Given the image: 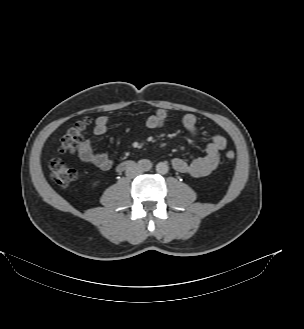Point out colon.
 <instances>
[{
    "label": "colon",
    "mask_w": 304,
    "mask_h": 329,
    "mask_svg": "<svg viewBox=\"0 0 304 329\" xmlns=\"http://www.w3.org/2000/svg\"><path fill=\"white\" fill-rule=\"evenodd\" d=\"M90 121L83 119L68 129L60 139L59 152L70 153L75 150L77 144L82 140L84 134L89 128ZM235 152L227 149L224 157L228 161L235 159ZM51 176L60 186H68L78 178L77 169L65 164L61 159L54 158L50 163Z\"/></svg>",
    "instance_id": "1"
}]
</instances>
